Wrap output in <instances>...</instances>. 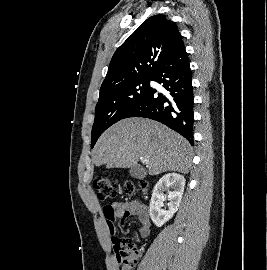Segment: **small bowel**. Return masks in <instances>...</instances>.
Returning <instances> with one entry per match:
<instances>
[{
  "mask_svg": "<svg viewBox=\"0 0 267 270\" xmlns=\"http://www.w3.org/2000/svg\"><path fill=\"white\" fill-rule=\"evenodd\" d=\"M103 214L112 241L116 233L115 222L119 220L124 223L132 216H136L139 220L138 233L141 237L145 238L150 233L151 223L148 210L145 205L137 200L115 202L104 207Z\"/></svg>",
  "mask_w": 267,
  "mask_h": 270,
  "instance_id": "c3829d8e",
  "label": "small bowel"
}]
</instances>
